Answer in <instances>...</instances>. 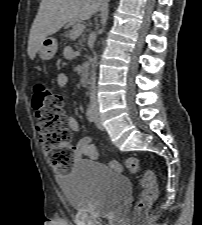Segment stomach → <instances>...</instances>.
<instances>
[{
    "mask_svg": "<svg viewBox=\"0 0 202 225\" xmlns=\"http://www.w3.org/2000/svg\"><path fill=\"white\" fill-rule=\"evenodd\" d=\"M57 49L58 45L56 39L52 37H46L38 50V54L42 60L48 61L54 57Z\"/></svg>",
    "mask_w": 202,
    "mask_h": 225,
    "instance_id": "1",
    "label": "stomach"
}]
</instances>
